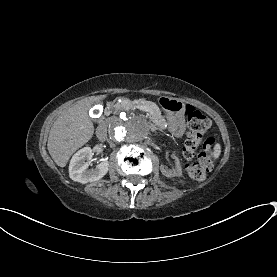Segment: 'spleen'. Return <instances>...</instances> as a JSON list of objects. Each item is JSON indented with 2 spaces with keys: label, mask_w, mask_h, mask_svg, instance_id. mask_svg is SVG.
<instances>
[{
  "label": "spleen",
  "mask_w": 277,
  "mask_h": 277,
  "mask_svg": "<svg viewBox=\"0 0 277 277\" xmlns=\"http://www.w3.org/2000/svg\"><path fill=\"white\" fill-rule=\"evenodd\" d=\"M220 153H221L220 144H216V145L214 146V152H213L214 158H218L219 155H220Z\"/></svg>",
  "instance_id": "1"
}]
</instances>
